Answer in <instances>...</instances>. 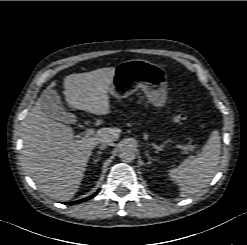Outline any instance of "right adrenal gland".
I'll use <instances>...</instances> for the list:
<instances>
[{"label": "right adrenal gland", "instance_id": "1", "mask_svg": "<svg viewBox=\"0 0 247 245\" xmlns=\"http://www.w3.org/2000/svg\"><path fill=\"white\" fill-rule=\"evenodd\" d=\"M105 149V147H100V150L97 153L96 158L94 159V163H97L100 160V155L102 154V151Z\"/></svg>", "mask_w": 247, "mask_h": 245}]
</instances>
